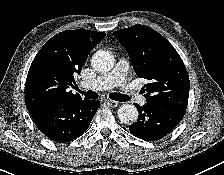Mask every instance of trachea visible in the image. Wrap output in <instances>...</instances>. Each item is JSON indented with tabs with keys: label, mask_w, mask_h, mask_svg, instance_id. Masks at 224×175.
I'll return each mask as SVG.
<instances>
[{
	"label": "trachea",
	"mask_w": 224,
	"mask_h": 175,
	"mask_svg": "<svg viewBox=\"0 0 224 175\" xmlns=\"http://www.w3.org/2000/svg\"><path fill=\"white\" fill-rule=\"evenodd\" d=\"M81 94L84 95V97L86 99H97L98 98V94L92 90H89L87 92L85 91H80L78 88H76ZM109 98H111L112 100L115 101H119V102H126L129 100V97L127 95L121 94V93H111L109 94Z\"/></svg>",
	"instance_id": "3493384b"
}]
</instances>
